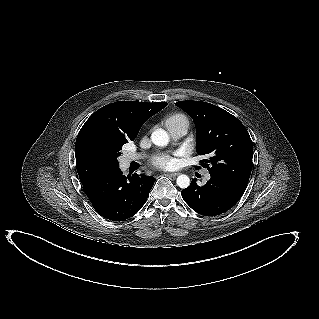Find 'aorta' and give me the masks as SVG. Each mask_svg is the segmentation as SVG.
<instances>
[{
  "label": "aorta",
  "instance_id": "762f6f07",
  "mask_svg": "<svg viewBox=\"0 0 319 319\" xmlns=\"http://www.w3.org/2000/svg\"><path fill=\"white\" fill-rule=\"evenodd\" d=\"M152 142L157 146H166L169 143V135L163 129H156L151 134ZM177 185L184 189L190 185V178L187 175H179L176 181Z\"/></svg>",
  "mask_w": 319,
  "mask_h": 319
}]
</instances>
